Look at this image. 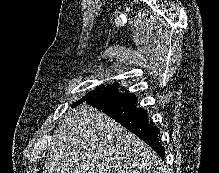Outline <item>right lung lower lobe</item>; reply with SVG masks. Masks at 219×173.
I'll return each instance as SVG.
<instances>
[{
  "mask_svg": "<svg viewBox=\"0 0 219 173\" xmlns=\"http://www.w3.org/2000/svg\"><path fill=\"white\" fill-rule=\"evenodd\" d=\"M137 97L132 93L100 94L87 100L122 126L145 141L161 158H164V147L158 141L159 129L148 123V113L143 108H137Z\"/></svg>",
  "mask_w": 219,
  "mask_h": 173,
  "instance_id": "right-lung-lower-lobe-1",
  "label": "right lung lower lobe"
}]
</instances>
